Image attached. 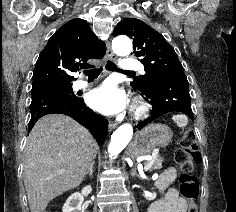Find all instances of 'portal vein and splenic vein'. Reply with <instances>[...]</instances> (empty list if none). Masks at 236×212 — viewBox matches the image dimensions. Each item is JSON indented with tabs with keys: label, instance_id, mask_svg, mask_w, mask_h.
<instances>
[{
	"label": "portal vein and splenic vein",
	"instance_id": "obj_1",
	"mask_svg": "<svg viewBox=\"0 0 236 212\" xmlns=\"http://www.w3.org/2000/svg\"><path fill=\"white\" fill-rule=\"evenodd\" d=\"M158 154V150H155L152 155L148 156V157H145L144 159L145 160H152L153 158H155ZM150 167V164L148 165H145L144 166V170H148V168ZM64 171L63 170H60L59 173H63Z\"/></svg>",
	"mask_w": 236,
	"mask_h": 212
}]
</instances>
